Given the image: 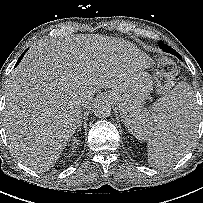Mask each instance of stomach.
Masks as SVG:
<instances>
[{
  "label": "stomach",
  "instance_id": "obj_1",
  "mask_svg": "<svg viewBox=\"0 0 203 203\" xmlns=\"http://www.w3.org/2000/svg\"><path fill=\"white\" fill-rule=\"evenodd\" d=\"M152 90V81L145 72H138L132 80L121 85L113 91L112 101L117 106L124 121L130 118V115L141 110V105Z\"/></svg>",
  "mask_w": 203,
  "mask_h": 203
}]
</instances>
